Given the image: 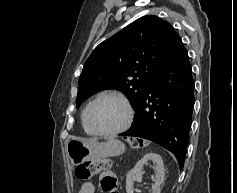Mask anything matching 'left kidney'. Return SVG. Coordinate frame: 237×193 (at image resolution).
I'll list each match as a JSON object with an SVG mask.
<instances>
[{"label":"left kidney","instance_id":"5707ae66","mask_svg":"<svg viewBox=\"0 0 237 193\" xmlns=\"http://www.w3.org/2000/svg\"><path fill=\"white\" fill-rule=\"evenodd\" d=\"M152 161L156 165V175H155V184L152 185V193H160V186L164 182V164L160 155L155 153H148L139 160L135 167L128 172L126 178V192L133 193V184L135 181H141L143 175V167L144 165Z\"/></svg>","mask_w":237,"mask_h":193}]
</instances>
